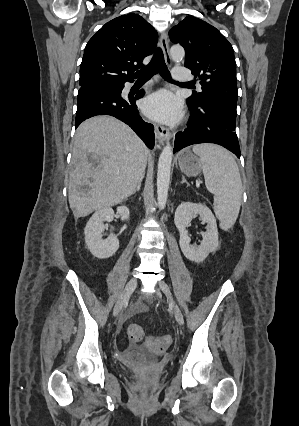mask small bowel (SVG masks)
I'll list each match as a JSON object with an SVG mask.
<instances>
[{"instance_id": "obj_1", "label": "small bowel", "mask_w": 299, "mask_h": 426, "mask_svg": "<svg viewBox=\"0 0 299 426\" xmlns=\"http://www.w3.org/2000/svg\"><path fill=\"white\" fill-rule=\"evenodd\" d=\"M135 313L146 312L144 305L138 304L134 308ZM120 358L127 364L137 366L146 364L150 359L149 349L145 346L138 347L136 342L129 341L127 346L120 351Z\"/></svg>"}]
</instances>
